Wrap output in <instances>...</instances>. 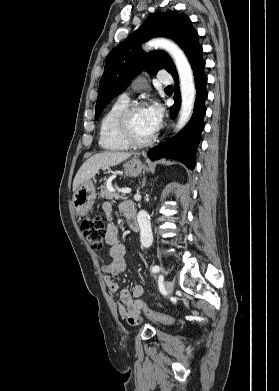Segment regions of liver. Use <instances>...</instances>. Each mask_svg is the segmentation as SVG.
<instances>
[{"instance_id":"1","label":"liver","mask_w":279,"mask_h":391,"mask_svg":"<svg viewBox=\"0 0 279 391\" xmlns=\"http://www.w3.org/2000/svg\"><path fill=\"white\" fill-rule=\"evenodd\" d=\"M130 153L124 152H101L87 159L78 170L73 181V192L87 181H90L100 168L116 166L129 158Z\"/></svg>"}]
</instances>
